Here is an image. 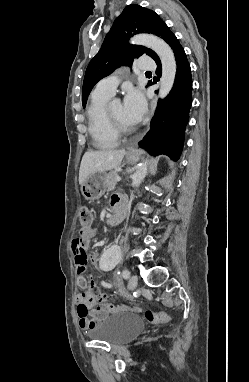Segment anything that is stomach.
I'll return each mask as SVG.
<instances>
[{
    "label": "stomach",
    "instance_id": "stomach-1",
    "mask_svg": "<svg viewBox=\"0 0 249 382\" xmlns=\"http://www.w3.org/2000/svg\"><path fill=\"white\" fill-rule=\"evenodd\" d=\"M128 163H136L139 160V153L127 154ZM106 174L104 172H94L90 174L81 186V193L86 200L99 199L105 192L104 181Z\"/></svg>",
    "mask_w": 249,
    "mask_h": 382
}]
</instances>
